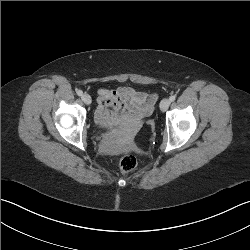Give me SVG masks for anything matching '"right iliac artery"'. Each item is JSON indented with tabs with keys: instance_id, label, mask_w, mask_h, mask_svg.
I'll return each instance as SVG.
<instances>
[{
	"instance_id": "obj_1",
	"label": "right iliac artery",
	"mask_w": 250,
	"mask_h": 250,
	"mask_svg": "<svg viewBox=\"0 0 250 250\" xmlns=\"http://www.w3.org/2000/svg\"><path fill=\"white\" fill-rule=\"evenodd\" d=\"M82 94H83V92H82L81 90H78V91H77V95H78V96H82Z\"/></svg>"
}]
</instances>
